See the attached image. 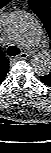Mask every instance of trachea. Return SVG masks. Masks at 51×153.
Wrapping results in <instances>:
<instances>
[{
    "label": "trachea",
    "mask_w": 51,
    "mask_h": 153,
    "mask_svg": "<svg viewBox=\"0 0 51 153\" xmlns=\"http://www.w3.org/2000/svg\"><path fill=\"white\" fill-rule=\"evenodd\" d=\"M20 52H21L20 49L16 46H10L7 49V54L9 56H16V55L20 54Z\"/></svg>",
    "instance_id": "obj_1"
}]
</instances>
